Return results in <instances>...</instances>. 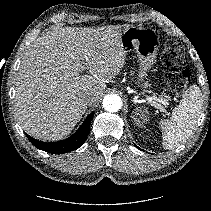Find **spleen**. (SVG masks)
I'll list each match as a JSON object with an SVG mask.
<instances>
[{
    "label": "spleen",
    "instance_id": "spleen-1",
    "mask_svg": "<svg viewBox=\"0 0 211 211\" xmlns=\"http://www.w3.org/2000/svg\"><path fill=\"white\" fill-rule=\"evenodd\" d=\"M203 97L194 84L184 93L179 105L174 108L170 119L160 121L164 149H174L184 143L195 130L201 114Z\"/></svg>",
    "mask_w": 211,
    "mask_h": 211
}]
</instances>
